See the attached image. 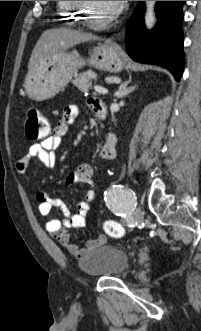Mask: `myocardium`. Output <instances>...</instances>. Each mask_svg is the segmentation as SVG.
Returning <instances> with one entry per match:
<instances>
[{
  "label": "myocardium",
  "mask_w": 201,
  "mask_h": 331,
  "mask_svg": "<svg viewBox=\"0 0 201 331\" xmlns=\"http://www.w3.org/2000/svg\"><path fill=\"white\" fill-rule=\"evenodd\" d=\"M75 4L81 9L79 16L82 17V22L85 25L91 26V27H96V28H101L109 25L112 23L115 19L119 17V15L122 13L124 9V5L121 2L118 3L117 8L112 12L109 16H107L104 20L99 21V22H92L87 18L86 10H87V1H74Z\"/></svg>",
  "instance_id": "1"
}]
</instances>
